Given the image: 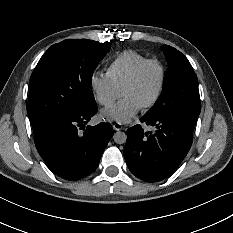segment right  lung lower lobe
<instances>
[{
    "label": "right lung lower lobe",
    "instance_id": "obj_1",
    "mask_svg": "<svg viewBox=\"0 0 233 233\" xmlns=\"http://www.w3.org/2000/svg\"><path fill=\"white\" fill-rule=\"evenodd\" d=\"M96 113L95 101L84 102L65 118L32 125L36 148L53 173L66 180H78L96 170L113 136L109 123L86 126Z\"/></svg>",
    "mask_w": 233,
    "mask_h": 233
}]
</instances>
